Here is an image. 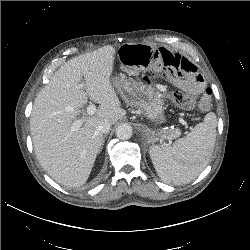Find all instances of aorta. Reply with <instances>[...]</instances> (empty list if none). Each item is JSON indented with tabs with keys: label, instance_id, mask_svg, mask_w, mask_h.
<instances>
[{
	"label": "aorta",
	"instance_id": "1",
	"mask_svg": "<svg viewBox=\"0 0 250 250\" xmlns=\"http://www.w3.org/2000/svg\"><path fill=\"white\" fill-rule=\"evenodd\" d=\"M133 129L131 125L122 123L116 128V136L121 140H127L132 137Z\"/></svg>",
	"mask_w": 250,
	"mask_h": 250
}]
</instances>
